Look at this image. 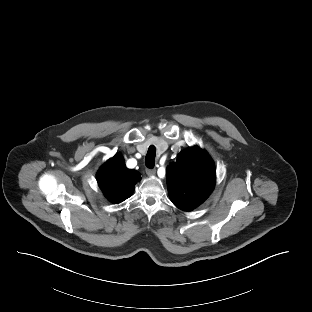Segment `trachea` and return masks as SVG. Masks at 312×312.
Segmentation results:
<instances>
[{
  "instance_id": "obj_1",
  "label": "trachea",
  "mask_w": 312,
  "mask_h": 312,
  "mask_svg": "<svg viewBox=\"0 0 312 312\" xmlns=\"http://www.w3.org/2000/svg\"><path fill=\"white\" fill-rule=\"evenodd\" d=\"M155 155H156V148L152 145L149 147L147 155H146V166L149 169H152L155 166Z\"/></svg>"
}]
</instances>
